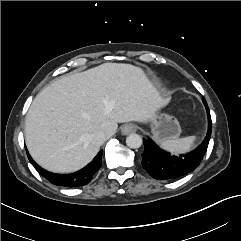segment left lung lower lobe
I'll use <instances>...</instances> for the list:
<instances>
[{"label":"left lung lower lobe","instance_id":"left-lung-lower-lobe-1","mask_svg":"<svg viewBox=\"0 0 241 241\" xmlns=\"http://www.w3.org/2000/svg\"><path fill=\"white\" fill-rule=\"evenodd\" d=\"M204 105L208 114V133L202 144L192 152L172 155L160 149L151 139H143L145 149L142 154V165L151 177L158 180L177 179L192 172L200 164L206 153L212 129L209 108L206 102Z\"/></svg>","mask_w":241,"mask_h":241}]
</instances>
